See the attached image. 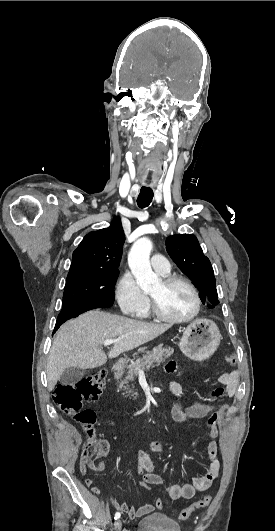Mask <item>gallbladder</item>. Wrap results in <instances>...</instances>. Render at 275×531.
<instances>
[{"label": "gallbladder", "mask_w": 275, "mask_h": 531, "mask_svg": "<svg viewBox=\"0 0 275 531\" xmlns=\"http://www.w3.org/2000/svg\"><path fill=\"white\" fill-rule=\"evenodd\" d=\"M84 375H86L85 369H77V367H69V369H66L64 371L63 375L60 377V383L61 385H69V387H73V385H76V383H79L81 379H83Z\"/></svg>", "instance_id": "1"}]
</instances>
